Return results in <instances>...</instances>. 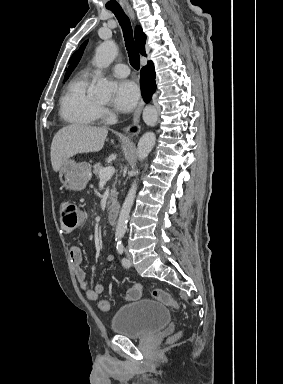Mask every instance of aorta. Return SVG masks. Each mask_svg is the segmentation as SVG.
<instances>
[{"mask_svg": "<svg viewBox=\"0 0 283 384\" xmlns=\"http://www.w3.org/2000/svg\"><path fill=\"white\" fill-rule=\"evenodd\" d=\"M117 53L118 49L116 44L111 40L105 41L96 49L94 63L99 68H106L115 59ZM113 88V82L108 81L105 78H100L93 93L98 98H109ZM142 117L147 125L154 126L158 120V112L154 106H146L143 110ZM155 141L156 136L153 132H147L140 138L137 146V156L139 161H143L149 155L155 145ZM136 173L138 174V172ZM136 190L137 182L135 180L133 181L120 210L116 226V235L118 237H123L126 232L127 222L135 199Z\"/></svg>", "mask_w": 283, "mask_h": 384, "instance_id": "762f6f07", "label": "aorta"}]
</instances>
